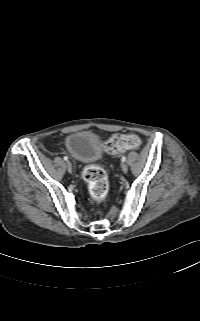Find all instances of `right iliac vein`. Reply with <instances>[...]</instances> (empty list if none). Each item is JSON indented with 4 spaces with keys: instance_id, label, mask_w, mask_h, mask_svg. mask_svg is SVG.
Segmentation results:
<instances>
[{
    "instance_id": "obj_1",
    "label": "right iliac vein",
    "mask_w": 200,
    "mask_h": 321,
    "mask_svg": "<svg viewBox=\"0 0 200 321\" xmlns=\"http://www.w3.org/2000/svg\"><path fill=\"white\" fill-rule=\"evenodd\" d=\"M66 168L69 172L72 171V164L69 161L66 162Z\"/></svg>"
}]
</instances>
